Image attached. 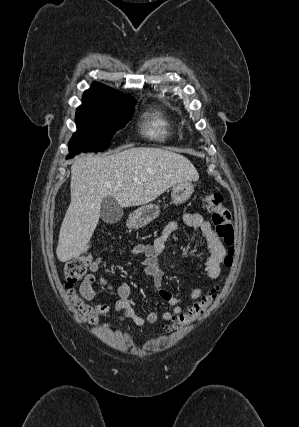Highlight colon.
<instances>
[{"instance_id": "colon-1", "label": "colon", "mask_w": 299, "mask_h": 427, "mask_svg": "<svg viewBox=\"0 0 299 427\" xmlns=\"http://www.w3.org/2000/svg\"><path fill=\"white\" fill-rule=\"evenodd\" d=\"M203 202L206 210L212 215V221L216 226V233L218 237L228 246V250L224 258V264L226 266H231L234 255L233 244L235 242V229L232 212L224 205L223 196L218 192H208L204 196ZM91 264V255L82 254L76 256L66 262L64 275L66 279V287L80 313L90 323H96L99 316L106 312V306L89 305L84 303L77 297L73 289L75 283L83 278L87 273ZM216 293L217 290H214L203 297L200 301L194 303L187 312L180 314L175 319L172 327H180L200 319L215 299Z\"/></svg>"}]
</instances>
